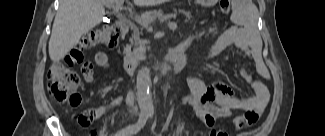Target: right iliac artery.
I'll use <instances>...</instances> for the list:
<instances>
[{"mask_svg": "<svg viewBox=\"0 0 325 136\" xmlns=\"http://www.w3.org/2000/svg\"><path fill=\"white\" fill-rule=\"evenodd\" d=\"M147 119H148L147 114H141L136 124L129 125L126 128L119 130L116 133V136H132L136 134L145 125Z\"/></svg>", "mask_w": 325, "mask_h": 136, "instance_id": "obj_1", "label": "right iliac artery"}]
</instances>
